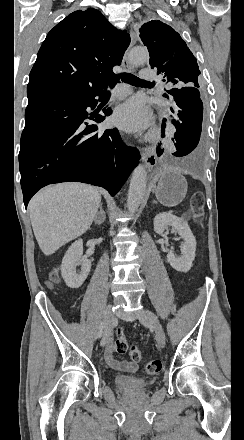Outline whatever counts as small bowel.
Wrapping results in <instances>:
<instances>
[{
    "instance_id": "small-bowel-1",
    "label": "small bowel",
    "mask_w": 244,
    "mask_h": 440,
    "mask_svg": "<svg viewBox=\"0 0 244 440\" xmlns=\"http://www.w3.org/2000/svg\"><path fill=\"white\" fill-rule=\"evenodd\" d=\"M114 345L109 342L106 345L105 352H104V359L107 362V364L115 370H118L123 373H129L133 374L138 371L139 366L138 363H132L131 361H118L114 358Z\"/></svg>"
}]
</instances>
